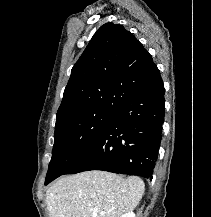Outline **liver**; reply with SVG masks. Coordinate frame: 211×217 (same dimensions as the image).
Wrapping results in <instances>:
<instances>
[{
    "label": "liver",
    "instance_id": "6515ba94",
    "mask_svg": "<svg viewBox=\"0 0 211 217\" xmlns=\"http://www.w3.org/2000/svg\"><path fill=\"white\" fill-rule=\"evenodd\" d=\"M144 190L139 177L94 170L59 179L46 204L50 217H121L138 206Z\"/></svg>",
    "mask_w": 211,
    "mask_h": 217
}]
</instances>
